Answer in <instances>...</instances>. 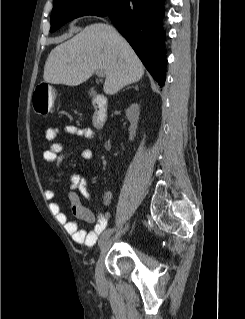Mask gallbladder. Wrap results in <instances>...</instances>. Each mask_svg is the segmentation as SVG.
<instances>
[{"mask_svg":"<svg viewBox=\"0 0 245 319\" xmlns=\"http://www.w3.org/2000/svg\"><path fill=\"white\" fill-rule=\"evenodd\" d=\"M89 93H90V95L94 94V92L92 90Z\"/></svg>","mask_w":245,"mask_h":319,"instance_id":"1","label":"gallbladder"}]
</instances>
